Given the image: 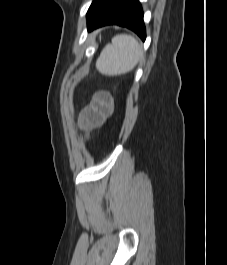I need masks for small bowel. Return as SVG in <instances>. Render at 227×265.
Wrapping results in <instances>:
<instances>
[{"label": "small bowel", "instance_id": "obj_1", "mask_svg": "<svg viewBox=\"0 0 227 265\" xmlns=\"http://www.w3.org/2000/svg\"><path fill=\"white\" fill-rule=\"evenodd\" d=\"M113 103L106 92L97 93L91 105L85 109L82 115L83 122L89 127H98L111 115Z\"/></svg>", "mask_w": 227, "mask_h": 265}]
</instances>
